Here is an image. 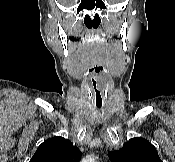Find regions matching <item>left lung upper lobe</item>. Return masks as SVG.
I'll use <instances>...</instances> for the list:
<instances>
[{
	"label": "left lung upper lobe",
	"instance_id": "left-lung-upper-lobe-1",
	"mask_svg": "<svg viewBox=\"0 0 175 162\" xmlns=\"http://www.w3.org/2000/svg\"><path fill=\"white\" fill-rule=\"evenodd\" d=\"M108 154L113 162H162L154 145L140 137L130 139L120 150Z\"/></svg>",
	"mask_w": 175,
	"mask_h": 162
}]
</instances>
